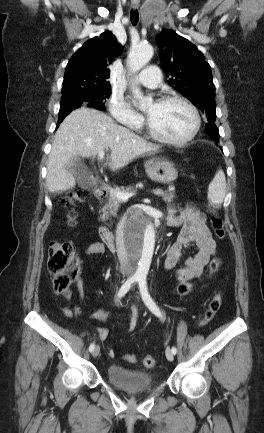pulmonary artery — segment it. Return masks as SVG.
Wrapping results in <instances>:
<instances>
[{"mask_svg": "<svg viewBox=\"0 0 264 433\" xmlns=\"http://www.w3.org/2000/svg\"><path fill=\"white\" fill-rule=\"evenodd\" d=\"M136 81L143 86L154 89L160 85L161 73L157 66L146 67L137 77Z\"/></svg>", "mask_w": 264, "mask_h": 433, "instance_id": "1", "label": "pulmonary artery"}]
</instances>
